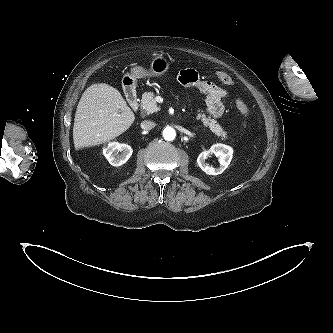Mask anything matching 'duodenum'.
Returning <instances> with one entry per match:
<instances>
[{"instance_id":"duodenum-1","label":"duodenum","mask_w":333,"mask_h":333,"mask_svg":"<svg viewBox=\"0 0 333 333\" xmlns=\"http://www.w3.org/2000/svg\"><path fill=\"white\" fill-rule=\"evenodd\" d=\"M124 91L127 97V100L134 111H137L139 107L138 96L136 91V86L131 79L125 80Z\"/></svg>"}]
</instances>
